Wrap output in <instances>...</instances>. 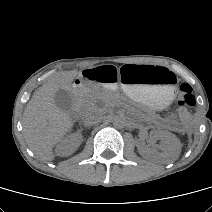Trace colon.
Returning a JSON list of instances; mask_svg holds the SVG:
<instances>
[{
    "instance_id": "obj_1",
    "label": "colon",
    "mask_w": 212,
    "mask_h": 212,
    "mask_svg": "<svg viewBox=\"0 0 212 212\" xmlns=\"http://www.w3.org/2000/svg\"><path fill=\"white\" fill-rule=\"evenodd\" d=\"M175 102L181 111V117L185 121H189L191 117V110L196 105V97L189 84L183 83L179 86Z\"/></svg>"
}]
</instances>
